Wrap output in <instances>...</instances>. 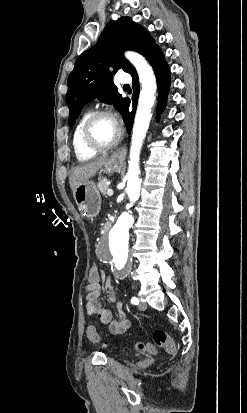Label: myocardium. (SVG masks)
Wrapping results in <instances>:
<instances>
[{
	"instance_id": "f54148a6",
	"label": "myocardium",
	"mask_w": 247,
	"mask_h": 413,
	"mask_svg": "<svg viewBox=\"0 0 247 413\" xmlns=\"http://www.w3.org/2000/svg\"><path fill=\"white\" fill-rule=\"evenodd\" d=\"M105 116H107V113L105 111L98 110L92 113L87 118L82 128V131H81V141H82L83 146L86 149L91 150V151H97V152H106L119 144L121 137H122L121 130H119L117 136L108 143L100 144V143L93 141L90 138V129L92 125L94 124V122L98 120L99 118H102Z\"/></svg>"
}]
</instances>
